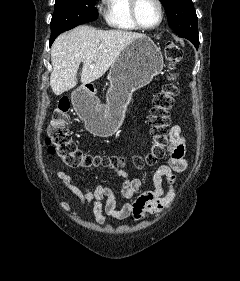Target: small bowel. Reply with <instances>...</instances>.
<instances>
[{"label":"small bowel","mask_w":240,"mask_h":281,"mask_svg":"<svg viewBox=\"0 0 240 281\" xmlns=\"http://www.w3.org/2000/svg\"><path fill=\"white\" fill-rule=\"evenodd\" d=\"M185 150L186 142L182 128L173 125L168 135L167 162L153 173L152 190H143V182L140 179L131 178L124 170L109 166L108 168L123 180L121 195L127 202L121 207L117 206L115 194L107 186L98 185L91 188L78 183L70 174L63 171L56 173L55 181L69 189L79 199L82 214L99 225L106 223V217L118 221L132 217L136 221H142L161 212L174 200L176 173L185 171L188 166ZM164 181L168 185L167 190L163 187ZM60 206L66 212L70 211L67 202H61Z\"/></svg>","instance_id":"obj_1"}]
</instances>
